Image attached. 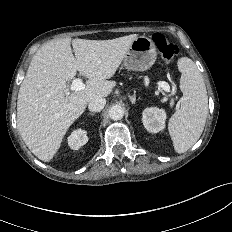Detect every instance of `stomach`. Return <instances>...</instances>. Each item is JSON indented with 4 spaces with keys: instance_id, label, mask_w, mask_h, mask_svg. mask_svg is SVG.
Segmentation results:
<instances>
[{
    "instance_id": "1",
    "label": "stomach",
    "mask_w": 232,
    "mask_h": 232,
    "mask_svg": "<svg viewBox=\"0 0 232 232\" xmlns=\"http://www.w3.org/2000/svg\"><path fill=\"white\" fill-rule=\"evenodd\" d=\"M156 57L157 51L152 39L140 36L131 43L123 64L128 70L144 71L154 64Z\"/></svg>"
}]
</instances>
